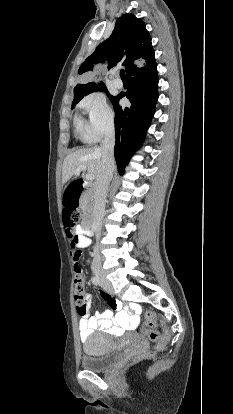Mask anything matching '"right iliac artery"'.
<instances>
[{
	"mask_svg": "<svg viewBox=\"0 0 233 414\" xmlns=\"http://www.w3.org/2000/svg\"><path fill=\"white\" fill-rule=\"evenodd\" d=\"M91 281L95 286H100V282H99V279L97 277L93 276L91 278Z\"/></svg>",
	"mask_w": 233,
	"mask_h": 414,
	"instance_id": "82829eb1",
	"label": "right iliac artery"
}]
</instances>
